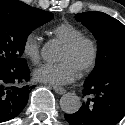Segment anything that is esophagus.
Instances as JSON below:
<instances>
[{"label": "esophagus", "mask_w": 125, "mask_h": 125, "mask_svg": "<svg viewBox=\"0 0 125 125\" xmlns=\"http://www.w3.org/2000/svg\"><path fill=\"white\" fill-rule=\"evenodd\" d=\"M53 89L58 94H64L66 92V89L57 86H54Z\"/></svg>", "instance_id": "1"}]
</instances>
